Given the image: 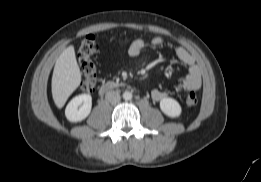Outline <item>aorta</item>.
I'll return each instance as SVG.
<instances>
[{
  "label": "aorta",
  "instance_id": "1",
  "mask_svg": "<svg viewBox=\"0 0 261 182\" xmlns=\"http://www.w3.org/2000/svg\"><path fill=\"white\" fill-rule=\"evenodd\" d=\"M132 97H133V95H132V92H130V91H125L123 93V99L126 101L131 100Z\"/></svg>",
  "mask_w": 261,
  "mask_h": 182
}]
</instances>
